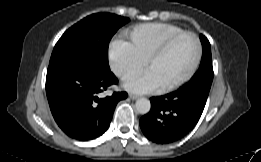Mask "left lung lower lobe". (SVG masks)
Wrapping results in <instances>:
<instances>
[{"label":"left lung lower lobe","instance_id":"obj_1","mask_svg":"<svg viewBox=\"0 0 261 162\" xmlns=\"http://www.w3.org/2000/svg\"><path fill=\"white\" fill-rule=\"evenodd\" d=\"M212 80L193 79L172 93L152 97L150 112L139 122L144 135L158 144L171 143L187 135L204 110Z\"/></svg>","mask_w":261,"mask_h":162}]
</instances>
